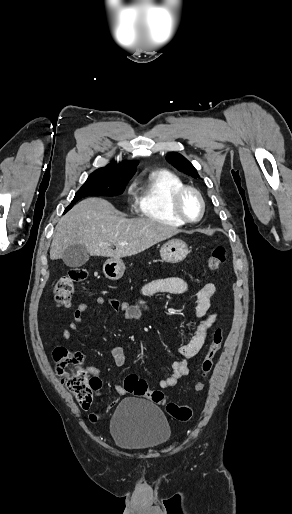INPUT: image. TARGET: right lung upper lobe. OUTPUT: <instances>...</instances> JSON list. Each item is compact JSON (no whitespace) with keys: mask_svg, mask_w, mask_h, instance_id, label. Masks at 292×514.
<instances>
[{"mask_svg":"<svg viewBox=\"0 0 292 514\" xmlns=\"http://www.w3.org/2000/svg\"><path fill=\"white\" fill-rule=\"evenodd\" d=\"M138 162L132 161H124L119 164L112 161V163L108 164L106 167L99 168L93 173L90 174L89 177L93 178H102V179H131V177L136 172V166Z\"/></svg>","mask_w":292,"mask_h":514,"instance_id":"cb5924a9","label":"right lung upper lobe"}]
</instances>
